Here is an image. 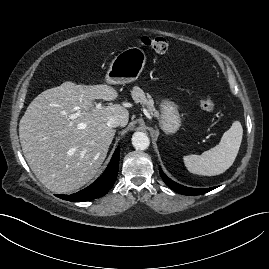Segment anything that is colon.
<instances>
[{"label":"colon","instance_id":"1","mask_svg":"<svg viewBox=\"0 0 269 269\" xmlns=\"http://www.w3.org/2000/svg\"><path fill=\"white\" fill-rule=\"evenodd\" d=\"M140 42L144 47L151 49L152 51L159 54L166 53L169 48L168 41L162 37L145 36L140 39ZM200 105L202 109H204L207 112H213L216 108L213 100L207 96H204L200 99Z\"/></svg>","mask_w":269,"mask_h":269}]
</instances>
